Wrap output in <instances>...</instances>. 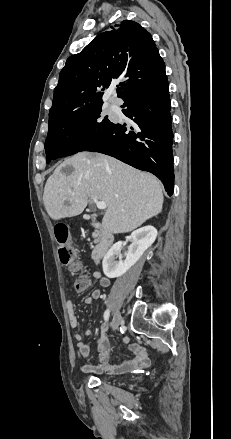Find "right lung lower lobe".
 <instances>
[{
  "instance_id": "obj_1",
  "label": "right lung lower lobe",
  "mask_w": 231,
  "mask_h": 439,
  "mask_svg": "<svg viewBox=\"0 0 231 439\" xmlns=\"http://www.w3.org/2000/svg\"><path fill=\"white\" fill-rule=\"evenodd\" d=\"M168 89L166 77L131 95L121 107L132 125L114 124L87 151L110 155L153 173L171 196L174 189L173 132Z\"/></svg>"
}]
</instances>
